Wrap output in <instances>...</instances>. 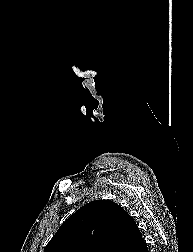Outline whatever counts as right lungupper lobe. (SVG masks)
<instances>
[{"label":"right lung upper lobe","instance_id":"1","mask_svg":"<svg viewBox=\"0 0 193 252\" xmlns=\"http://www.w3.org/2000/svg\"><path fill=\"white\" fill-rule=\"evenodd\" d=\"M141 240L136 222L120 205L96 200L70 216L44 252H131Z\"/></svg>","mask_w":193,"mask_h":252}]
</instances>
